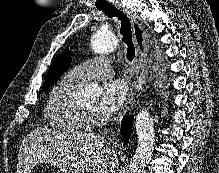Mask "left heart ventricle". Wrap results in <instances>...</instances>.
Masks as SVG:
<instances>
[{
	"mask_svg": "<svg viewBox=\"0 0 219 173\" xmlns=\"http://www.w3.org/2000/svg\"><path fill=\"white\" fill-rule=\"evenodd\" d=\"M81 107L89 112H93L96 108V102L93 101V102H87V103H83L81 105Z\"/></svg>",
	"mask_w": 219,
	"mask_h": 173,
	"instance_id": "obj_1",
	"label": "left heart ventricle"
}]
</instances>
